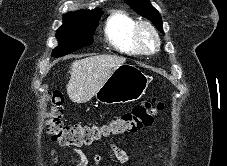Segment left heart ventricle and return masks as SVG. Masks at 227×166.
Instances as JSON below:
<instances>
[{"label": "left heart ventricle", "mask_w": 227, "mask_h": 166, "mask_svg": "<svg viewBox=\"0 0 227 166\" xmlns=\"http://www.w3.org/2000/svg\"><path fill=\"white\" fill-rule=\"evenodd\" d=\"M141 38L146 46L151 47L153 45V38L148 31H143Z\"/></svg>", "instance_id": "b2bd125f"}]
</instances>
